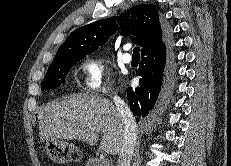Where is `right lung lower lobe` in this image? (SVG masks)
I'll return each mask as SVG.
<instances>
[{"instance_id": "98d812e1", "label": "right lung lower lobe", "mask_w": 231, "mask_h": 166, "mask_svg": "<svg viewBox=\"0 0 231 166\" xmlns=\"http://www.w3.org/2000/svg\"><path fill=\"white\" fill-rule=\"evenodd\" d=\"M170 36L156 50L142 55V61L136 70L140 77L139 87L127 88V98L132 112L138 117H146L162 101L166 92L168 67L166 60L170 55Z\"/></svg>"}]
</instances>
